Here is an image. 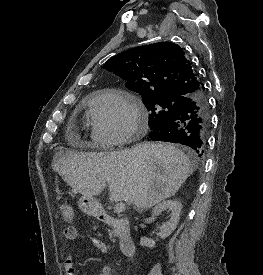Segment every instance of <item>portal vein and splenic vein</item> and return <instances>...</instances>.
Masks as SVG:
<instances>
[{
	"mask_svg": "<svg viewBox=\"0 0 263 275\" xmlns=\"http://www.w3.org/2000/svg\"><path fill=\"white\" fill-rule=\"evenodd\" d=\"M125 209H126V206H125V204H124L123 202H119V203H117L116 206H115V211H116L117 213H122V212L125 211Z\"/></svg>",
	"mask_w": 263,
	"mask_h": 275,
	"instance_id": "18ae733b",
	"label": "portal vein and splenic vein"
}]
</instances>
